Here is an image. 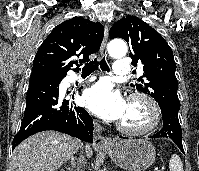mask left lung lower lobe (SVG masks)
I'll use <instances>...</instances> for the list:
<instances>
[{"label":"left lung lower lobe","instance_id":"obj_1","mask_svg":"<svg viewBox=\"0 0 199 171\" xmlns=\"http://www.w3.org/2000/svg\"><path fill=\"white\" fill-rule=\"evenodd\" d=\"M161 112L163 118V128L151 137L170 138L184 153L182 145V129L178 119L179 110H176L174 108H161Z\"/></svg>","mask_w":199,"mask_h":171}]
</instances>
